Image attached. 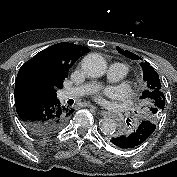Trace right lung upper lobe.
<instances>
[{
  "label": "right lung upper lobe",
  "mask_w": 177,
  "mask_h": 177,
  "mask_svg": "<svg viewBox=\"0 0 177 177\" xmlns=\"http://www.w3.org/2000/svg\"><path fill=\"white\" fill-rule=\"evenodd\" d=\"M88 51L86 47L67 42L40 51L20 68L15 90L26 88L56 95L63 88L70 67Z\"/></svg>",
  "instance_id": "right-lung-upper-lobe-1"
}]
</instances>
